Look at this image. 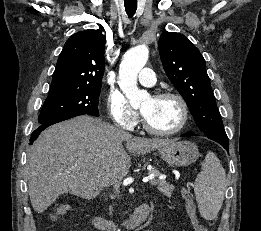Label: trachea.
<instances>
[{"label": "trachea", "instance_id": "1", "mask_svg": "<svg viewBox=\"0 0 261 231\" xmlns=\"http://www.w3.org/2000/svg\"><path fill=\"white\" fill-rule=\"evenodd\" d=\"M126 13L129 17H132L137 10V0H124Z\"/></svg>", "mask_w": 261, "mask_h": 231}]
</instances>
